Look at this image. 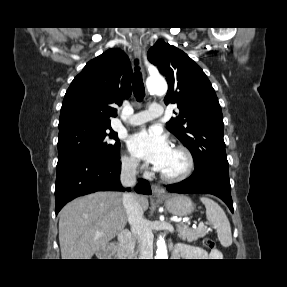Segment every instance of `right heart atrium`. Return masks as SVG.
I'll use <instances>...</instances> for the list:
<instances>
[{
  "instance_id": "1",
  "label": "right heart atrium",
  "mask_w": 287,
  "mask_h": 287,
  "mask_svg": "<svg viewBox=\"0 0 287 287\" xmlns=\"http://www.w3.org/2000/svg\"><path fill=\"white\" fill-rule=\"evenodd\" d=\"M122 166L130 172H136L141 168L139 161L131 154H125L122 157Z\"/></svg>"
}]
</instances>
